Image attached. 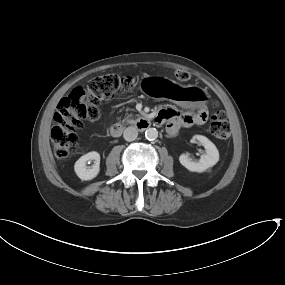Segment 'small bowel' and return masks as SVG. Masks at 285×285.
Listing matches in <instances>:
<instances>
[{"instance_id":"1","label":"small bowel","mask_w":285,"mask_h":285,"mask_svg":"<svg viewBox=\"0 0 285 285\" xmlns=\"http://www.w3.org/2000/svg\"><path fill=\"white\" fill-rule=\"evenodd\" d=\"M157 117H161L162 122H165L166 132L174 135L181 127L204 122L207 119V114L203 110H198L195 113H181L170 105H163L159 109Z\"/></svg>"}]
</instances>
